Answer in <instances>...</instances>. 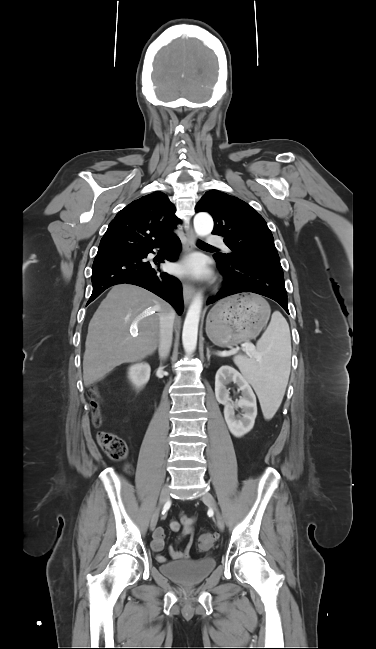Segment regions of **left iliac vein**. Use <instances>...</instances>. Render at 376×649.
Segmentation results:
<instances>
[{
	"instance_id": "obj_1",
	"label": "left iliac vein",
	"mask_w": 376,
	"mask_h": 649,
	"mask_svg": "<svg viewBox=\"0 0 376 649\" xmlns=\"http://www.w3.org/2000/svg\"><path fill=\"white\" fill-rule=\"evenodd\" d=\"M201 499L214 511L218 528L222 531L224 529V519L220 510L218 509L214 497L209 492H206L202 494Z\"/></svg>"
}]
</instances>
